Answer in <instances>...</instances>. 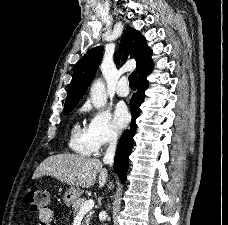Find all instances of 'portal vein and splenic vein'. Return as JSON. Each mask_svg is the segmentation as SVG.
<instances>
[{
  "instance_id": "portal-vein-and-splenic-vein-1",
  "label": "portal vein and splenic vein",
  "mask_w": 228,
  "mask_h": 225,
  "mask_svg": "<svg viewBox=\"0 0 228 225\" xmlns=\"http://www.w3.org/2000/svg\"><path fill=\"white\" fill-rule=\"evenodd\" d=\"M94 205H95V201H93V199H89V201H85V203H83V207H81L80 213H78V215H84V213H88V211H90V209H93Z\"/></svg>"
}]
</instances>
